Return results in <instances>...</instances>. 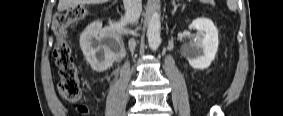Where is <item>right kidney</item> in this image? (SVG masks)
Masks as SVG:
<instances>
[{
	"label": "right kidney",
	"mask_w": 283,
	"mask_h": 116,
	"mask_svg": "<svg viewBox=\"0 0 283 116\" xmlns=\"http://www.w3.org/2000/svg\"><path fill=\"white\" fill-rule=\"evenodd\" d=\"M102 22L94 21L80 35V47L91 68L103 72L110 67L123 49L120 37L111 29H103Z\"/></svg>",
	"instance_id": "1"
}]
</instances>
